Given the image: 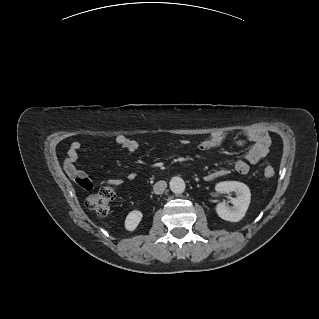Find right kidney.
I'll return each mask as SVG.
<instances>
[{
    "mask_svg": "<svg viewBox=\"0 0 319 319\" xmlns=\"http://www.w3.org/2000/svg\"><path fill=\"white\" fill-rule=\"evenodd\" d=\"M143 214L139 210H133L129 212L125 220V228L128 231H133L136 229L140 221L142 220Z\"/></svg>",
    "mask_w": 319,
    "mask_h": 319,
    "instance_id": "right-kidney-1",
    "label": "right kidney"
}]
</instances>
